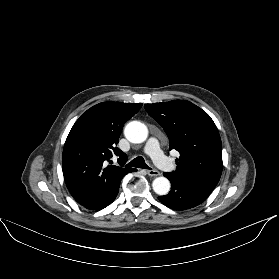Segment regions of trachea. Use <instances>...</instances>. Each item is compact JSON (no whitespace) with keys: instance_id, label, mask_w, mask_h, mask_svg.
I'll return each mask as SVG.
<instances>
[{"instance_id":"obj_1","label":"trachea","mask_w":279,"mask_h":279,"mask_svg":"<svg viewBox=\"0 0 279 279\" xmlns=\"http://www.w3.org/2000/svg\"><path fill=\"white\" fill-rule=\"evenodd\" d=\"M126 167H136V168H143V169H151L144 161L143 157L138 156L129 162Z\"/></svg>"}]
</instances>
